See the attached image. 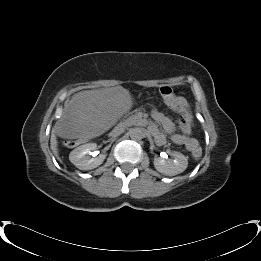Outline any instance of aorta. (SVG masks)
<instances>
[{"label":"aorta","instance_id":"obj_1","mask_svg":"<svg viewBox=\"0 0 261 261\" xmlns=\"http://www.w3.org/2000/svg\"><path fill=\"white\" fill-rule=\"evenodd\" d=\"M130 137L133 140H141L143 137V133L140 128H134L130 131Z\"/></svg>","mask_w":261,"mask_h":261}]
</instances>
